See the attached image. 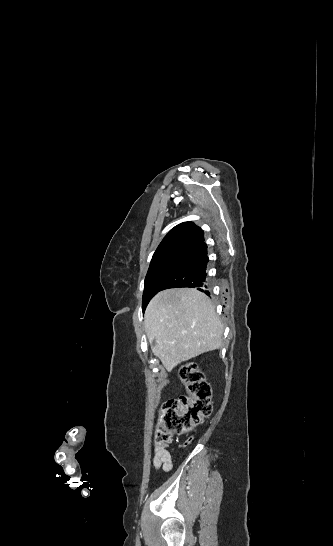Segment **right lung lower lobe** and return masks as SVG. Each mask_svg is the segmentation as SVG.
Segmentation results:
<instances>
[{"label": "right lung lower lobe", "instance_id": "obj_1", "mask_svg": "<svg viewBox=\"0 0 333 546\" xmlns=\"http://www.w3.org/2000/svg\"><path fill=\"white\" fill-rule=\"evenodd\" d=\"M208 262L205 243L188 250L160 277L155 294L168 288L190 287L210 295L205 284ZM142 308L144 311L146 306H142Z\"/></svg>", "mask_w": 333, "mask_h": 546}]
</instances>
